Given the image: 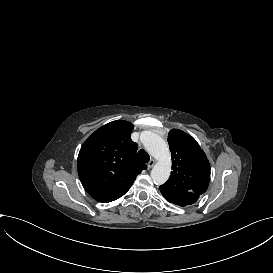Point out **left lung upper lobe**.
<instances>
[{
    "instance_id": "obj_1",
    "label": "left lung upper lobe",
    "mask_w": 273,
    "mask_h": 273,
    "mask_svg": "<svg viewBox=\"0 0 273 273\" xmlns=\"http://www.w3.org/2000/svg\"><path fill=\"white\" fill-rule=\"evenodd\" d=\"M168 144L172 154L173 171L160 189L171 194H203L209 184L210 165L199 144L193 137L178 129L169 132Z\"/></svg>"
}]
</instances>
